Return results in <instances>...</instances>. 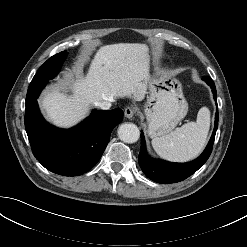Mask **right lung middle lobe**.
<instances>
[{
  "mask_svg": "<svg viewBox=\"0 0 247 247\" xmlns=\"http://www.w3.org/2000/svg\"><path fill=\"white\" fill-rule=\"evenodd\" d=\"M66 51L55 54L49 58L37 71L30 85L40 86L48 83V80L53 79L59 72L62 63L66 58Z\"/></svg>",
  "mask_w": 247,
  "mask_h": 247,
  "instance_id": "dd1d6c3e",
  "label": "right lung middle lobe"
}]
</instances>
